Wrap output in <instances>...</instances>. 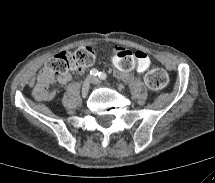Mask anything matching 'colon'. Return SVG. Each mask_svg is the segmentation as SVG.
<instances>
[{"label":"colon","mask_w":215,"mask_h":183,"mask_svg":"<svg viewBox=\"0 0 215 183\" xmlns=\"http://www.w3.org/2000/svg\"><path fill=\"white\" fill-rule=\"evenodd\" d=\"M95 60V52L88 47H81L74 52H61L46 63L43 80H55L67 75L70 71L84 70L93 65ZM167 80V73L161 68L152 69L145 75V82L151 89L163 88Z\"/></svg>","instance_id":"1"}]
</instances>
